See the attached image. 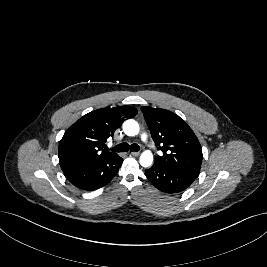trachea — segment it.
<instances>
[{"label":"trachea","mask_w":267,"mask_h":267,"mask_svg":"<svg viewBox=\"0 0 267 267\" xmlns=\"http://www.w3.org/2000/svg\"><path fill=\"white\" fill-rule=\"evenodd\" d=\"M140 147L138 144H131L129 145L128 143H121L115 147L112 148V151H115V152H126L128 150L130 151H139Z\"/></svg>","instance_id":"obj_1"}]
</instances>
